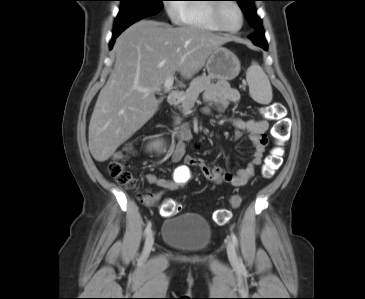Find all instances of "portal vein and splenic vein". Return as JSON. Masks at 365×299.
<instances>
[{
    "label": "portal vein and splenic vein",
    "mask_w": 365,
    "mask_h": 299,
    "mask_svg": "<svg viewBox=\"0 0 365 299\" xmlns=\"http://www.w3.org/2000/svg\"><path fill=\"white\" fill-rule=\"evenodd\" d=\"M173 83H174V78L172 76L169 77L168 79H166L164 82L165 91H170L173 88ZM139 91L144 92V93L151 92V90H149V89H139Z\"/></svg>",
    "instance_id": "obj_1"
}]
</instances>
